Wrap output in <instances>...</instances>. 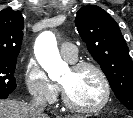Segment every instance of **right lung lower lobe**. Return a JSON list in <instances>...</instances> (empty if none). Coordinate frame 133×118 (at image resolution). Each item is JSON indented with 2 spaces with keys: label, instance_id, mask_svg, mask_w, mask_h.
<instances>
[{
  "label": "right lung lower lobe",
  "instance_id": "1",
  "mask_svg": "<svg viewBox=\"0 0 133 118\" xmlns=\"http://www.w3.org/2000/svg\"><path fill=\"white\" fill-rule=\"evenodd\" d=\"M6 98H7V96L0 97V99H6Z\"/></svg>",
  "mask_w": 133,
  "mask_h": 118
}]
</instances>
